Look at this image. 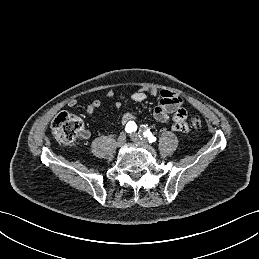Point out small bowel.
I'll use <instances>...</instances> for the list:
<instances>
[{
	"label": "small bowel",
	"instance_id": "obj_1",
	"mask_svg": "<svg viewBox=\"0 0 259 259\" xmlns=\"http://www.w3.org/2000/svg\"><path fill=\"white\" fill-rule=\"evenodd\" d=\"M113 91L109 90L106 93V99H109L113 96ZM160 95V100L154 108L153 115L154 118L159 122H167L170 118L172 119V129L177 132H188L189 127L186 122L187 111L183 107L184 100L177 93L163 89L159 93L156 89L148 90H137L132 93L131 98L136 103L144 102L148 95L157 96ZM102 101L100 99H95L88 104L86 112L88 114L95 113L101 106ZM68 105L74 107L76 105L75 100H70ZM134 117L130 112H127L122 117V122L127 124L130 121H133ZM81 138L87 139L90 137V131L84 129L80 134Z\"/></svg>",
	"mask_w": 259,
	"mask_h": 259
}]
</instances>
